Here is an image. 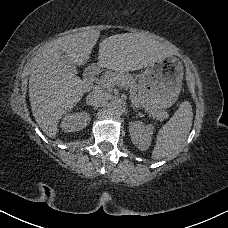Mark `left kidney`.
Returning <instances> with one entry per match:
<instances>
[{
  "label": "left kidney",
  "instance_id": "obj_1",
  "mask_svg": "<svg viewBox=\"0 0 228 228\" xmlns=\"http://www.w3.org/2000/svg\"><path fill=\"white\" fill-rule=\"evenodd\" d=\"M154 126L152 124L145 125L141 121L129 123V134L132 143L141 151H145L151 145Z\"/></svg>",
  "mask_w": 228,
  "mask_h": 228
}]
</instances>
